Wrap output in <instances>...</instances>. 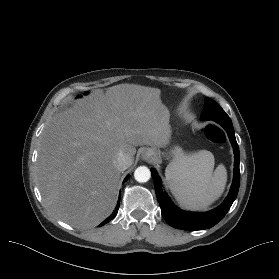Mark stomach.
Returning <instances> with one entry per match:
<instances>
[{
	"label": "stomach",
	"mask_w": 279,
	"mask_h": 279,
	"mask_svg": "<svg viewBox=\"0 0 279 279\" xmlns=\"http://www.w3.org/2000/svg\"><path fill=\"white\" fill-rule=\"evenodd\" d=\"M153 150H155L158 154H160V152L158 150H156V148H153ZM173 159H177L179 157H181L183 155V152H182V149L181 148H178L176 147L173 151Z\"/></svg>",
	"instance_id": "stomach-1"
}]
</instances>
